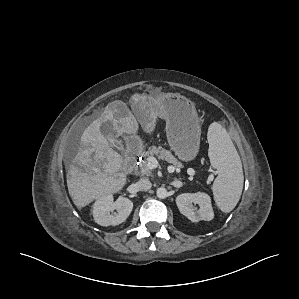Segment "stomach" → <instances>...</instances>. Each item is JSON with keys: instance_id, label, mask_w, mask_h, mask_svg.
I'll use <instances>...</instances> for the list:
<instances>
[{"instance_id": "0dacf381", "label": "stomach", "mask_w": 299, "mask_h": 299, "mask_svg": "<svg viewBox=\"0 0 299 299\" xmlns=\"http://www.w3.org/2000/svg\"><path fill=\"white\" fill-rule=\"evenodd\" d=\"M151 111L166 122L168 143L182 161L193 160L200 147L201 126L194 103L179 93L149 98Z\"/></svg>"}]
</instances>
